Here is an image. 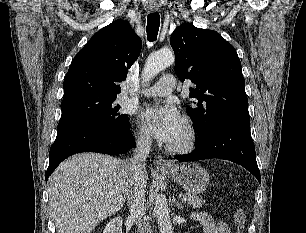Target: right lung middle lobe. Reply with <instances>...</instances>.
<instances>
[{
    "label": "right lung middle lobe",
    "mask_w": 306,
    "mask_h": 233,
    "mask_svg": "<svg viewBox=\"0 0 306 233\" xmlns=\"http://www.w3.org/2000/svg\"><path fill=\"white\" fill-rule=\"evenodd\" d=\"M116 98L85 97L63 102L62 117L57 128V138L86 128H108L122 131L129 128L128 116L118 113Z\"/></svg>",
    "instance_id": "obj_1"
}]
</instances>
